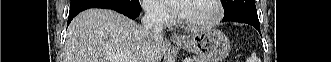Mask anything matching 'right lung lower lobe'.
<instances>
[{
    "instance_id": "98d812e1",
    "label": "right lung lower lobe",
    "mask_w": 331,
    "mask_h": 62,
    "mask_svg": "<svg viewBox=\"0 0 331 62\" xmlns=\"http://www.w3.org/2000/svg\"><path fill=\"white\" fill-rule=\"evenodd\" d=\"M89 8L112 9L131 19L137 18L141 10L140 6L137 8H130L108 0H85L80 3L70 5L68 24L78 13Z\"/></svg>"
}]
</instances>
